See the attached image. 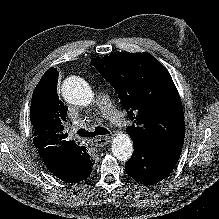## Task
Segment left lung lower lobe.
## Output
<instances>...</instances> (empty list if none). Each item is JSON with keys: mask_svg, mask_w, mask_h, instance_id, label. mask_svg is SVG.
<instances>
[{"mask_svg": "<svg viewBox=\"0 0 219 219\" xmlns=\"http://www.w3.org/2000/svg\"><path fill=\"white\" fill-rule=\"evenodd\" d=\"M134 154L125 164L127 174L144 185L165 179L176 165L181 150L166 151L143 141H133Z\"/></svg>", "mask_w": 219, "mask_h": 219, "instance_id": "left-lung-lower-lobe-1", "label": "left lung lower lobe"}]
</instances>
